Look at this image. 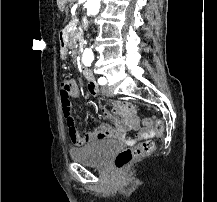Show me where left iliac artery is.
I'll return each instance as SVG.
<instances>
[{
    "instance_id": "left-iliac-artery-1",
    "label": "left iliac artery",
    "mask_w": 217,
    "mask_h": 202,
    "mask_svg": "<svg viewBox=\"0 0 217 202\" xmlns=\"http://www.w3.org/2000/svg\"><path fill=\"white\" fill-rule=\"evenodd\" d=\"M98 83L100 84V85H105L106 83H107V81H106V79L105 78H99L98 79Z\"/></svg>"
}]
</instances>
